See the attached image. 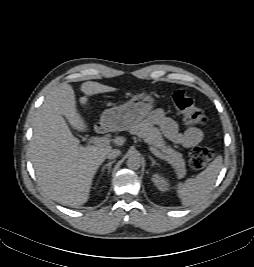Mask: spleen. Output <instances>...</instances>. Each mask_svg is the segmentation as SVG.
<instances>
[{
    "instance_id": "3e777b00",
    "label": "spleen",
    "mask_w": 254,
    "mask_h": 267,
    "mask_svg": "<svg viewBox=\"0 0 254 267\" xmlns=\"http://www.w3.org/2000/svg\"><path fill=\"white\" fill-rule=\"evenodd\" d=\"M222 157L217 156L204 171L195 178L177 184V194L183 206H190L206 197L212 190L222 168Z\"/></svg>"
}]
</instances>
